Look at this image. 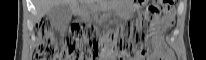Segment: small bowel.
<instances>
[{"label":"small bowel","instance_id":"1","mask_svg":"<svg viewBox=\"0 0 206 60\" xmlns=\"http://www.w3.org/2000/svg\"><path fill=\"white\" fill-rule=\"evenodd\" d=\"M164 26H158L155 30L156 38L153 41V50L151 59L153 60H173L171 52L164 46L161 41V34L164 32ZM144 58H138L136 60H142Z\"/></svg>","mask_w":206,"mask_h":60}]
</instances>
